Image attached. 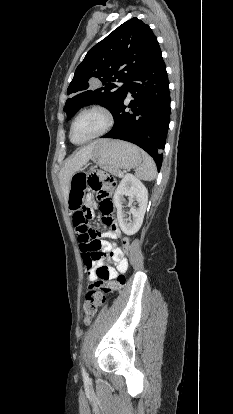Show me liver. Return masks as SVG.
Instances as JSON below:
<instances>
[{"mask_svg":"<svg viewBox=\"0 0 233 414\" xmlns=\"http://www.w3.org/2000/svg\"><path fill=\"white\" fill-rule=\"evenodd\" d=\"M94 148L95 142L82 147L78 152H76L66 161L64 167L61 169L59 179L66 204L68 201L71 178L76 172L81 170V168L88 163L93 155Z\"/></svg>","mask_w":233,"mask_h":414,"instance_id":"obj_1","label":"liver"}]
</instances>
